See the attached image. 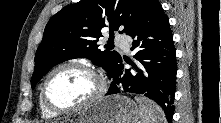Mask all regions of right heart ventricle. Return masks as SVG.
Instances as JSON below:
<instances>
[{
    "instance_id": "obj_1",
    "label": "right heart ventricle",
    "mask_w": 221,
    "mask_h": 123,
    "mask_svg": "<svg viewBox=\"0 0 221 123\" xmlns=\"http://www.w3.org/2000/svg\"><path fill=\"white\" fill-rule=\"evenodd\" d=\"M39 107L41 114L44 118H53L57 116V113L50 111L42 102L41 96L39 97Z\"/></svg>"
}]
</instances>
